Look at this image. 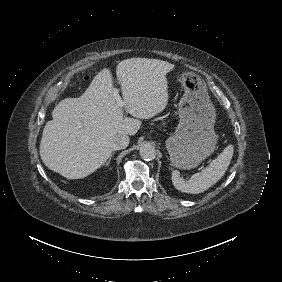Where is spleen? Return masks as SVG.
I'll return each mask as SVG.
<instances>
[{"mask_svg":"<svg viewBox=\"0 0 282 282\" xmlns=\"http://www.w3.org/2000/svg\"><path fill=\"white\" fill-rule=\"evenodd\" d=\"M233 152V145H228L216 159L200 173L194 174L188 181L180 177L178 170H174L172 172L174 186L185 193L198 194L204 192L223 177L231 162Z\"/></svg>","mask_w":282,"mask_h":282,"instance_id":"obj_1","label":"spleen"}]
</instances>
